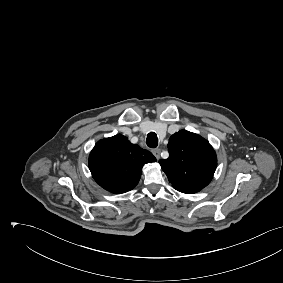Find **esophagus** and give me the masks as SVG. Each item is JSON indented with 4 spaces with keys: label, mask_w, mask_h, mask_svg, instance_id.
Instances as JSON below:
<instances>
[{
    "label": "esophagus",
    "mask_w": 283,
    "mask_h": 283,
    "mask_svg": "<svg viewBox=\"0 0 283 283\" xmlns=\"http://www.w3.org/2000/svg\"><path fill=\"white\" fill-rule=\"evenodd\" d=\"M152 152H153L154 156L156 157V159L159 160L161 150L157 148V149H154Z\"/></svg>",
    "instance_id": "esophagus-1"
}]
</instances>
